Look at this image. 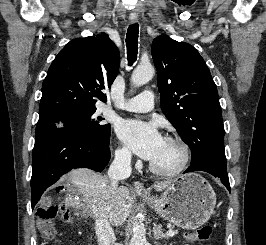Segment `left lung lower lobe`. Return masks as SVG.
Segmentation results:
<instances>
[{
    "mask_svg": "<svg viewBox=\"0 0 266 245\" xmlns=\"http://www.w3.org/2000/svg\"><path fill=\"white\" fill-rule=\"evenodd\" d=\"M193 171H205L212 174L215 177L220 178L221 182L226 186V188L230 192V184H229L227 169L213 166L211 164L202 163L190 166L184 173L193 172Z\"/></svg>",
    "mask_w": 266,
    "mask_h": 245,
    "instance_id": "0a47b994",
    "label": "left lung lower lobe"
}]
</instances>
